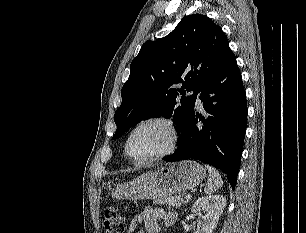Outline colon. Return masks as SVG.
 <instances>
[{"label": "colon", "mask_w": 306, "mask_h": 233, "mask_svg": "<svg viewBox=\"0 0 306 233\" xmlns=\"http://www.w3.org/2000/svg\"><path fill=\"white\" fill-rule=\"evenodd\" d=\"M103 226L105 229V233H124V221L113 210H107L103 219Z\"/></svg>", "instance_id": "colon-1"}]
</instances>
